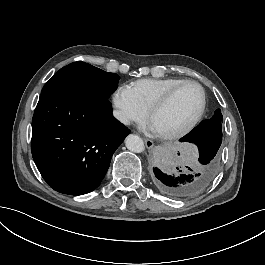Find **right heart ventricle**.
<instances>
[{
  "mask_svg": "<svg viewBox=\"0 0 265 265\" xmlns=\"http://www.w3.org/2000/svg\"><path fill=\"white\" fill-rule=\"evenodd\" d=\"M182 80H184L182 77L144 78L130 82L127 86L142 107L149 112L168 90Z\"/></svg>",
  "mask_w": 265,
  "mask_h": 265,
  "instance_id": "obj_1",
  "label": "right heart ventricle"
}]
</instances>
